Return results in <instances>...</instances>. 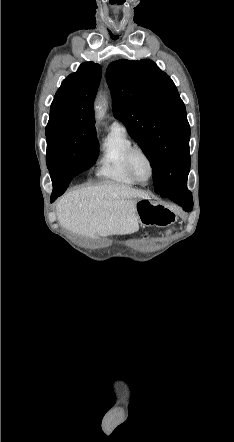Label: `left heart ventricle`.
<instances>
[{
  "label": "left heart ventricle",
  "mask_w": 234,
  "mask_h": 442,
  "mask_svg": "<svg viewBox=\"0 0 234 442\" xmlns=\"http://www.w3.org/2000/svg\"><path fill=\"white\" fill-rule=\"evenodd\" d=\"M132 167L136 176L142 180H148L150 176V165L146 157L142 153L134 154L132 158Z\"/></svg>",
  "instance_id": "obj_1"
}]
</instances>
